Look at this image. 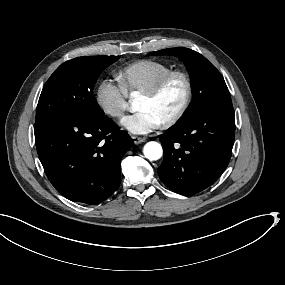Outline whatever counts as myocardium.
<instances>
[{
	"instance_id": "f54148a6",
	"label": "myocardium",
	"mask_w": 285,
	"mask_h": 285,
	"mask_svg": "<svg viewBox=\"0 0 285 285\" xmlns=\"http://www.w3.org/2000/svg\"><path fill=\"white\" fill-rule=\"evenodd\" d=\"M175 81H179L181 84L180 99L175 109L160 122L161 127H169L176 123L186 112L191 93V85L188 76L181 71H173L164 77H162L154 86L144 92L138 97V102H142L152 96L164 91L167 87L173 84Z\"/></svg>"
}]
</instances>
